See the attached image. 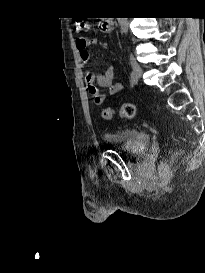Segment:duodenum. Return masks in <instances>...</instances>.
I'll return each mask as SVG.
<instances>
[{
	"instance_id": "duodenum-1",
	"label": "duodenum",
	"mask_w": 205,
	"mask_h": 273,
	"mask_svg": "<svg viewBox=\"0 0 205 273\" xmlns=\"http://www.w3.org/2000/svg\"><path fill=\"white\" fill-rule=\"evenodd\" d=\"M112 25H113L112 19L108 18L102 23L101 29L102 31L108 32L111 30Z\"/></svg>"
}]
</instances>
